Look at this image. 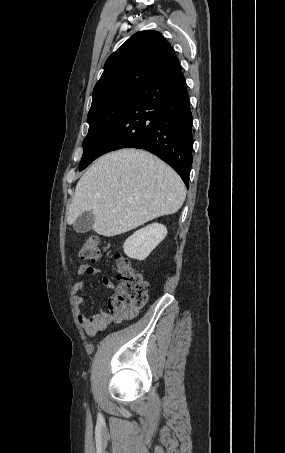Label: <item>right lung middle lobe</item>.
<instances>
[{
    "instance_id": "right-lung-middle-lobe-1",
    "label": "right lung middle lobe",
    "mask_w": 285,
    "mask_h": 453,
    "mask_svg": "<svg viewBox=\"0 0 285 453\" xmlns=\"http://www.w3.org/2000/svg\"><path fill=\"white\" fill-rule=\"evenodd\" d=\"M139 91L121 94L90 108L89 131L83 141L80 171L100 156L101 149Z\"/></svg>"
}]
</instances>
